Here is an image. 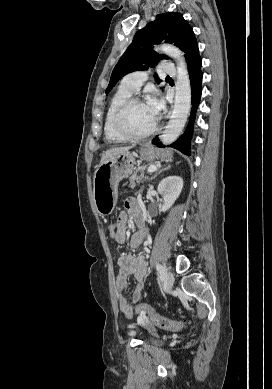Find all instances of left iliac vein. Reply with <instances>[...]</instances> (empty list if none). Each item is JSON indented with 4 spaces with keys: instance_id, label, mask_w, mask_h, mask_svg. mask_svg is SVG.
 <instances>
[{
    "instance_id": "obj_1",
    "label": "left iliac vein",
    "mask_w": 272,
    "mask_h": 389,
    "mask_svg": "<svg viewBox=\"0 0 272 389\" xmlns=\"http://www.w3.org/2000/svg\"><path fill=\"white\" fill-rule=\"evenodd\" d=\"M165 283H166L167 289H172L173 284H174V275L172 272H170V271L166 272Z\"/></svg>"
}]
</instances>
